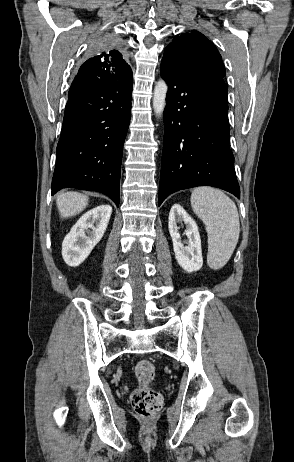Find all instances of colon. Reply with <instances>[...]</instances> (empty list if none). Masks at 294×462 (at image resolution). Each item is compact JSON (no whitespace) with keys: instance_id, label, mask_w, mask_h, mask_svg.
<instances>
[{"instance_id":"1","label":"colon","mask_w":294,"mask_h":462,"mask_svg":"<svg viewBox=\"0 0 294 462\" xmlns=\"http://www.w3.org/2000/svg\"><path fill=\"white\" fill-rule=\"evenodd\" d=\"M135 376L140 383L131 394V403L135 412L144 418L156 415L163 405L162 396L150 388L155 377V367L149 360L143 359L135 366Z\"/></svg>"}]
</instances>
